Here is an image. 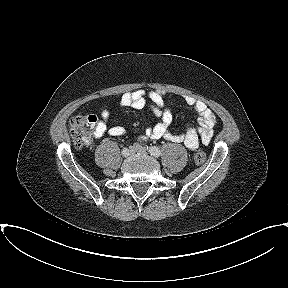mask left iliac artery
Wrapping results in <instances>:
<instances>
[{
	"instance_id": "obj_1",
	"label": "left iliac artery",
	"mask_w": 288,
	"mask_h": 288,
	"mask_svg": "<svg viewBox=\"0 0 288 288\" xmlns=\"http://www.w3.org/2000/svg\"><path fill=\"white\" fill-rule=\"evenodd\" d=\"M148 148V147H147ZM149 152L151 155L155 156V157H159L161 155V151L158 147H150L149 148Z\"/></svg>"
}]
</instances>
